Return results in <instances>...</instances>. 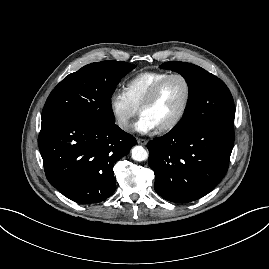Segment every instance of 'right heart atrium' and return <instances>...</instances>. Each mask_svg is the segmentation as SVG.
<instances>
[{"mask_svg": "<svg viewBox=\"0 0 269 269\" xmlns=\"http://www.w3.org/2000/svg\"><path fill=\"white\" fill-rule=\"evenodd\" d=\"M108 106L117 127L128 130L138 109L129 101L125 92L114 90L110 94Z\"/></svg>", "mask_w": 269, "mask_h": 269, "instance_id": "d8ad5b80", "label": "right heart atrium"}]
</instances>
